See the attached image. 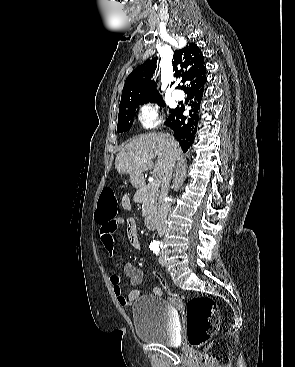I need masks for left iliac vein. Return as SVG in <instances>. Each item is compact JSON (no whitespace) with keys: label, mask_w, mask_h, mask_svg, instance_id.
Returning a JSON list of instances; mask_svg holds the SVG:
<instances>
[{"label":"left iliac vein","mask_w":295,"mask_h":367,"mask_svg":"<svg viewBox=\"0 0 295 367\" xmlns=\"http://www.w3.org/2000/svg\"><path fill=\"white\" fill-rule=\"evenodd\" d=\"M159 263L162 266H164L166 264V258H165L164 252H161V254L159 256Z\"/></svg>","instance_id":"left-iliac-vein-1"}]
</instances>
